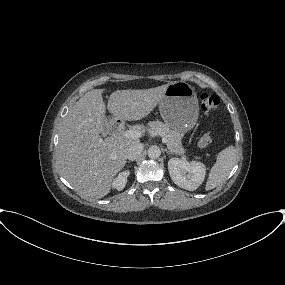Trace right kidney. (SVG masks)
Returning a JSON list of instances; mask_svg holds the SVG:
<instances>
[{
	"label": "right kidney",
	"mask_w": 285,
	"mask_h": 285,
	"mask_svg": "<svg viewBox=\"0 0 285 285\" xmlns=\"http://www.w3.org/2000/svg\"><path fill=\"white\" fill-rule=\"evenodd\" d=\"M129 170L121 172L112 182V187L121 191L124 189L127 183V177L129 176Z\"/></svg>",
	"instance_id": "obj_1"
}]
</instances>
